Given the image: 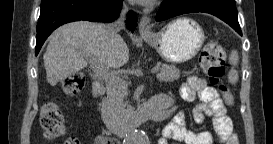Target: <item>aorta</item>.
I'll return each instance as SVG.
<instances>
[{"mask_svg":"<svg viewBox=\"0 0 273 144\" xmlns=\"http://www.w3.org/2000/svg\"><path fill=\"white\" fill-rule=\"evenodd\" d=\"M148 136L142 130L133 131L125 138V144H148Z\"/></svg>","mask_w":273,"mask_h":144,"instance_id":"obj_1","label":"aorta"}]
</instances>
